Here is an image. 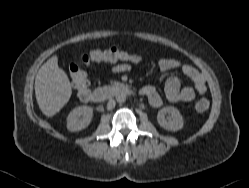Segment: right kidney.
Segmentation results:
<instances>
[{
    "mask_svg": "<svg viewBox=\"0 0 249 188\" xmlns=\"http://www.w3.org/2000/svg\"><path fill=\"white\" fill-rule=\"evenodd\" d=\"M93 117L90 106H78L67 117V129L71 132L81 131L89 126Z\"/></svg>",
    "mask_w": 249,
    "mask_h": 188,
    "instance_id": "right-kidney-1",
    "label": "right kidney"
}]
</instances>
